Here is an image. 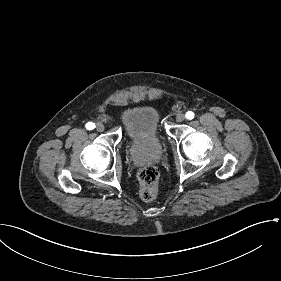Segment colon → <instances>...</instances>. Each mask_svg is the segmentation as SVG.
I'll return each mask as SVG.
<instances>
[{"mask_svg": "<svg viewBox=\"0 0 281 281\" xmlns=\"http://www.w3.org/2000/svg\"><path fill=\"white\" fill-rule=\"evenodd\" d=\"M138 179L141 185V195L143 199H154L158 191V169L153 165H147L140 170Z\"/></svg>", "mask_w": 281, "mask_h": 281, "instance_id": "colon-1", "label": "colon"}]
</instances>
